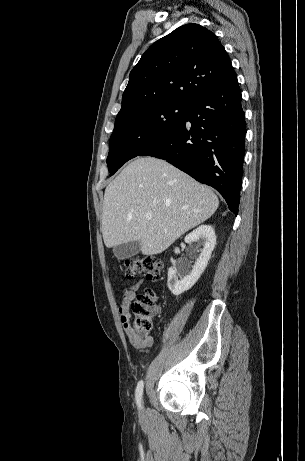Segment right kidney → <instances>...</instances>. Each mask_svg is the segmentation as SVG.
I'll return each mask as SVG.
<instances>
[{"instance_id": "obj_1", "label": "right kidney", "mask_w": 305, "mask_h": 461, "mask_svg": "<svg viewBox=\"0 0 305 461\" xmlns=\"http://www.w3.org/2000/svg\"><path fill=\"white\" fill-rule=\"evenodd\" d=\"M198 239H202L204 241V245L199 257L192 266V270L185 268L180 273L174 268H169L168 270L167 286L176 296L189 290L198 281L201 274L207 267L211 253L216 245V236L212 226H199L185 237V242L191 243ZM175 253H180L179 248H175Z\"/></svg>"}]
</instances>
